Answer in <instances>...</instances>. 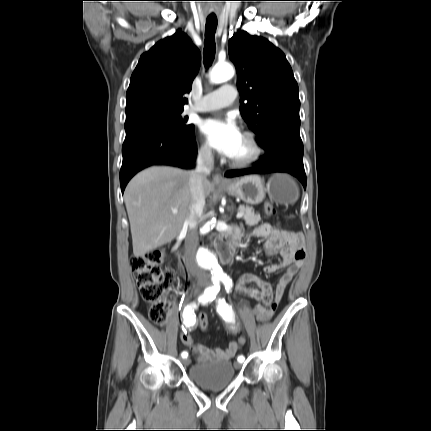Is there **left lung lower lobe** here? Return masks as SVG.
Instances as JSON below:
<instances>
[{
  "label": "left lung lower lobe",
  "mask_w": 431,
  "mask_h": 431,
  "mask_svg": "<svg viewBox=\"0 0 431 431\" xmlns=\"http://www.w3.org/2000/svg\"><path fill=\"white\" fill-rule=\"evenodd\" d=\"M264 149L266 154L256 162V167L228 171L226 176L236 177L246 174L285 172L297 177L304 189H306L302 142L290 138H279Z\"/></svg>",
  "instance_id": "obj_1"
}]
</instances>
